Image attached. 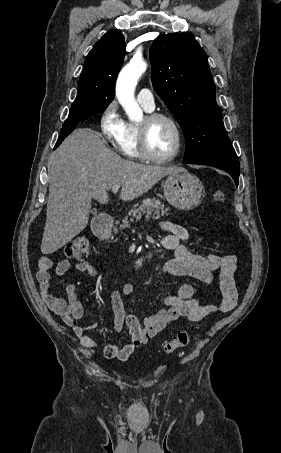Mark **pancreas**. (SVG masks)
Here are the masks:
<instances>
[{
	"label": "pancreas",
	"mask_w": 281,
	"mask_h": 453,
	"mask_svg": "<svg viewBox=\"0 0 281 453\" xmlns=\"http://www.w3.org/2000/svg\"><path fill=\"white\" fill-rule=\"evenodd\" d=\"M169 208H165V204H161L159 198H144L142 200V204L136 202L134 204V208H131L128 214H132V216H136V218H141V212H144L145 218H160L163 214H170L168 212ZM132 220V218H130ZM122 227H128V216L123 218Z\"/></svg>",
	"instance_id": "1"
}]
</instances>
